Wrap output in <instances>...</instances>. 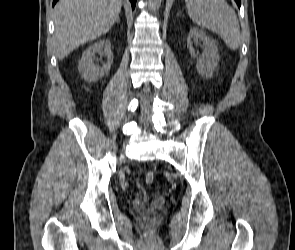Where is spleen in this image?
<instances>
[{"label": "spleen", "mask_w": 295, "mask_h": 250, "mask_svg": "<svg viewBox=\"0 0 295 250\" xmlns=\"http://www.w3.org/2000/svg\"><path fill=\"white\" fill-rule=\"evenodd\" d=\"M188 14L197 25L218 33L227 47L235 51L241 43L235 11L225 0H185Z\"/></svg>", "instance_id": "obj_1"}]
</instances>
